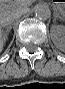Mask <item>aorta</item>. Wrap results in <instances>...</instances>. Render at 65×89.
Returning a JSON list of instances; mask_svg holds the SVG:
<instances>
[{"mask_svg": "<svg viewBox=\"0 0 65 89\" xmlns=\"http://www.w3.org/2000/svg\"><path fill=\"white\" fill-rule=\"evenodd\" d=\"M33 11L35 17L40 21H47L51 18V10L47 4H37L35 5Z\"/></svg>", "mask_w": 65, "mask_h": 89, "instance_id": "1", "label": "aorta"}]
</instances>
